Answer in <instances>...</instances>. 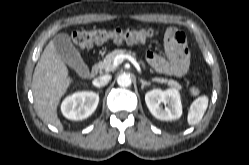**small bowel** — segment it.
Wrapping results in <instances>:
<instances>
[{"mask_svg":"<svg viewBox=\"0 0 249 165\" xmlns=\"http://www.w3.org/2000/svg\"><path fill=\"white\" fill-rule=\"evenodd\" d=\"M179 33L176 27L166 29L164 34L166 58L155 51L147 52L146 59L157 72L176 77H182L187 73L190 53L186 41L180 40Z\"/></svg>","mask_w":249,"mask_h":165,"instance_id":"c3829d8e","label":"small bowel"}]
</instances>
